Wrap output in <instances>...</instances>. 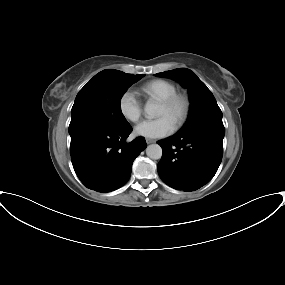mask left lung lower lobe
<instances>
[{
	"instance_id": "obj_1",
	"label": "left lung lower lobe",
	"mask_w": 285,
	"mask_h": 285,
	"mask_svg": "<svg viewBox=\"0 0 285 285\" xmlns=\"http://www.w3.org/2000/svg\"><path fill=\"white\" fill-rule=\"evenodd\" d=\"M224 134L223 125L205 123L158 141L163 150L157 167L162 181L184 191L208 183L222 160Z\"/></svg>"
}]
</instances>
